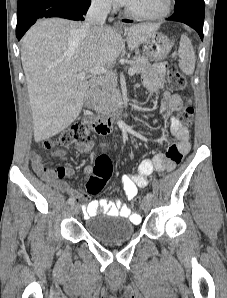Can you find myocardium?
Segmentation results:
<instances>
[{
  "label": "myocardium",
  "mask_w": 227,
  "mask_h": 298,
  "mask_svg": "<svg viewBox=\"0 0 227 298\" xmlns=\"http://www.w3.org/2000/svg\"><path fill=\"white\" fill-rule=\"evenodd\" d=\"M172 10V0H164L163 9L155 14H142L130 10L128 7L124 8V12L127 16L143 21H157L166 18Z\"/></svg>",
  "instance_id": "1"
}]
</instances>
